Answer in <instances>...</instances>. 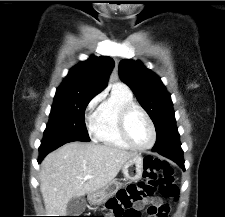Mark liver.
Returning a JSON list of instances; mask_svg holds the SVG:
<instances>
[{"label": "liver", "instance_id": "obj_1", "mask_svg": "<svg viewBox=\"0 0 225 217\" xmlns=\"http://www.w3.org/2000/svg\"><path fill=\"white\" fill-rule=\"evenodd\" d=\"M136 156L119 148L71 142L49 153L41 163L40 191L48 216H66L67 204L100 190ZM86 175L92 178L84 179Z\"/></svg>", "mask_w": 225, "mask_h": 217}]
</instances>
